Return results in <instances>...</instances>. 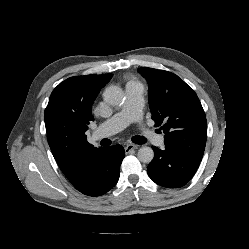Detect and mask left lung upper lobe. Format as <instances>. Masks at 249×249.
<instances>
[{"label":"left lung upper lobe","mask_w":249,"mask_h":249,"mask_svg":"<svg viewBox=\"0 0 249 249\" xmlns=\"http://www.w3.org/2000/svg\"><path fill=\"white\" fill-rule=\"evenodd\" d=\"M138 72L148 82L151 118L163 129L165 145L202 160L207 122L196 93L171 72L147 67Z\"/></svg>","instance_id":"5c2ea615"}]
</instances>
